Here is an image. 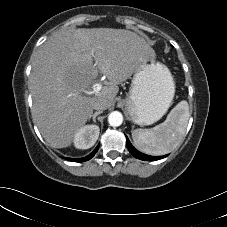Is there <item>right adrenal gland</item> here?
Instances as JSON below:
<instances>
[{
  "instance_id": "obj_1",
  "label": "right adrenal gland",
  "mask_w": 227,
  "mask_h": 227,
  "mask_svg": "<svg viewBox=\"0 0 227 227\" xmlns=\"http://www.w3.org/2000/svg\"><path fill=\"white\" fill-rule=\"evenodd\" d=\"M101 113H102V111H98V112H95V113L92 115V120H93L94 123H96V117H97L99 114H101Z\"/></svg>"
}]
</instances>
